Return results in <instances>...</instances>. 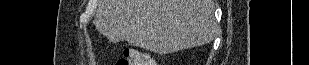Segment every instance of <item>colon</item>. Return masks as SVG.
Returning <instances> with one entry per match:
<instances>
[{"label":"colon","instance_id":"obj_1","mask_svg":"<svg viewBox=\"0 0 309 65\" xmlns=\"http://www.w3.org/2000/svg\"><path fill=\"white\" fill-rule=\"evenodd\" d=\"M149 58L148 53L135 49H127L123 57L119 59L118 65H153V63H145Z\"/></svg>","mask_w":309,"mask_h":65}]
</instances>
